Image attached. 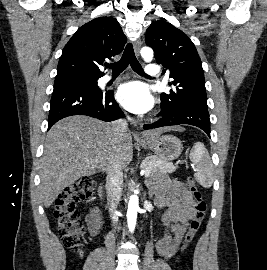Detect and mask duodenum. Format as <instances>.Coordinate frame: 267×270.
Segmentation results:
<instances>
[{"label":"duodenum","instance_id":"410a0bca","mask_svg":"<svg viewBox=\"0 0 267 270\" xmlns=\"http://www.w3.org/2000/svg\"><path fill=\"white\" fill-rule=\"evenodd\" d=\"M98 195L101 199L104 198V191H103V187L100 186L99 189H98ZM113 213V212H112Z\"/></svg>","mask_w":267,"mask_h":270}]
</instances>
